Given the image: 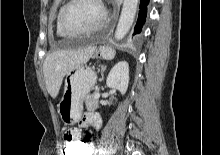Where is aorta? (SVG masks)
<instances>
[{"label": "aorta", "instance_id": "obj_1", "mask_svg": "<svg viewBox=\"0 0 220 155\" xmlns=\"http://www.w3.org/2000/svg\"><path fill=\"white\" fill-rule=\"evenodd\" d=\"M139 0H124L121 15L115 31V39L122 40L129 29L131 28L136 11L138 8Z\"/></svg>", "mask_w": 220, "mask_h": 155}]
</instances>
